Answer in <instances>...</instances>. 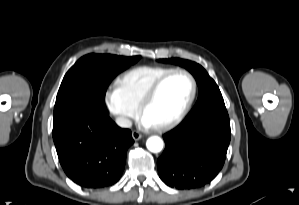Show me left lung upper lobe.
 I'll return each instance as SVG.
<instances>
[{
  "instance_id": "5c2ea615",
  "label": "left lung upper lobe",
  "mask_w": 299,
  "mask_h": 205,
  "mask_svg": "<svg viewBox=\"0 0 299 205\" xmlns=\"http://www.w3.org/2000/svg\"><path fill=\"white\" fill-rule=\"evenodd\" d=\"M159 61L183 66L195 77L199 86V97L188 117H199L209 110L225 108L219 87L202 66L180 58L160 59Z\"/></svg>"
}]
</instances>
